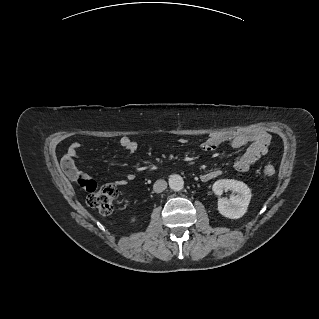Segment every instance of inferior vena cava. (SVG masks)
<instances>
[{
	"label": "inferior vena cava",
	"mask_w": 319,
	"mask_h": 319,
	"mask_svg": "<svg viewBox=\"0 0 319 319\" xmlns=\"http://www.w3.org/2000/svg\"><path fill=\"white\" fill-rule=\"evenodd\" d=\"M167 188V182L165 180L159 179L153 185V190L156 193H161Z\"/></svg>",
	"instance_id": "602c4592"
}]
</instances>
